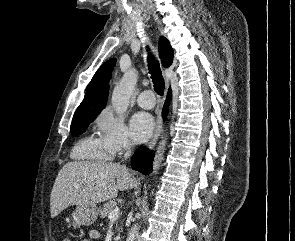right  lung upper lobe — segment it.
<instances>
[{
  "instance_id": "cb5924a9",
  "label": "right lung upper lobe",
  "mask_w": 295,
  "mask_h": 241,
  "mask_svg": "<svg viewBox=\"0 0 295 241\" xmlns=\"http://www.w3.org/2000/svg\"><path fill=\"white\" fill-rule=\"evenodd\" d=\"M159 57L164 67H169L173 62V49L169 41L163 36L159 40ZM115 63L116 59L112 58L97 70L88 84L85 97L76 112L94 111L105 106L108 96L107 84Z\"/></svg>"
}]
</instances>
